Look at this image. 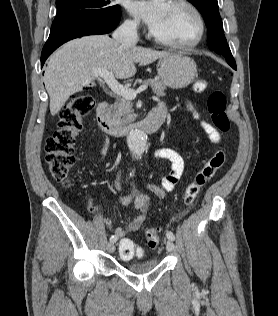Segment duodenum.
Here are the masks:
<instances>
[{
  "instance_id": "1",
  "label": "duodenum",
  "mask_w": 278,
  "mask_h": 316,
  "mask_svg": "<svg viewBox=\"0 0 278 316\" xmlns=\"http://www.w3.org/2000/svg\"><path fill=\"white\" fill-rule=\"evenodd\" d=\"M108 112L109 103L107 101L99 103L96 110V120L102 131L113 136H124L134 131H143L151 134L161 127L165 119V109L156 106L143 120L133 122L127 126H117L110 121Z\"/></svg>"
}]
</instances>
